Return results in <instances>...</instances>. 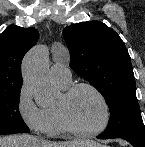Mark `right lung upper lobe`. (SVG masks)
I'll return each instance as SVG.
<instances>
[{"label": "right lung upper lobe", "instance_id": "cb5924a9", "mask_svg": "<svg viewBox=\"0 0 145 147\" xmlns=\"http://www.w3.org/2000/svg\"><path fill=\"white\" fill-rule=\"evenodd\" d=\"M37 40L38 31L32 27L10 25L0 34V90L22 86L21 62Z\"/></svg>", "mask_w": 145, "mask_h": 147}]
</instances>
